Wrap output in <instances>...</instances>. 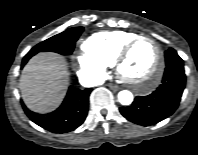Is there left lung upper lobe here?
I'll return each mask as SVG.
<instances>
[{"mask_svg":"<svg viewBox=\"0 0 198 155\" xmlns=\"http://www.w3.org/2000/svg\"><path fill=\"white\" fill-rule=\"evenodd\" d=\"M165 60L166 66L171 63H183V60L179 57V55L173 48H170L167 51H165Z\"/></svg>","mask_w":198,"mask_h":155,"instance_id":"1","label":"left lung upper lobe"}]
</instances>
